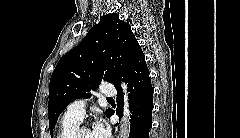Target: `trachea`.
<instances>
[{
  "instance_id": "1",
  "label": "trachea",
  "mask_w": 240,
  "mask_h": 138,
  "mask_svg": "<svg viewBox=\"0 0 240 138\" xmlns=\"http://www.w3.org/2000/svg\"><path fill=\"white\" fill-rule=\"evenodd\" d=\"M108 101H112L113 99L112 98H107Z\"/></svg>"
}]
</instances>
